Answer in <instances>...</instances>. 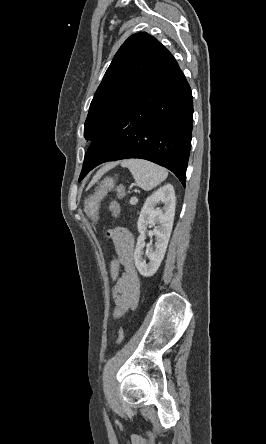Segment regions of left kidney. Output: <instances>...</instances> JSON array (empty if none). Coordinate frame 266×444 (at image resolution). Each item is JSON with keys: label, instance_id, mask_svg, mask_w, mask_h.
Listing matches in <instances>:
<instances>
[{"label": "left kidney", "instance_id": "obj_1", "mask_svg": "<svg viewBox=\"0 0 266 444\" xmlns=\"http://www.w3.org/2000/svg\"><path fill=\"white\" fill-rule=\"evenodd\" d=\"M160 202L164 203L162 210L155 208ZM175 202L174 187L171 184H166L148 197L141 209L137 223L140 235L137 239L134 261L143 277L154 275L164 258L173 227ZM155 224H159L153 230V235L156 237L155 249L147 248L146 254L149 263L146 264L142 257L145 247V232L148 225L155 226Z\"/></svg>", "mask_w": 266, "mask_h": 444}]
</instances>
